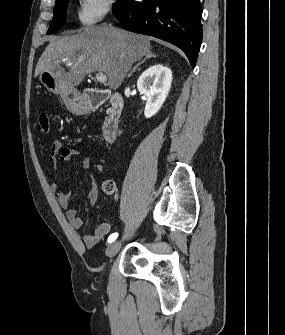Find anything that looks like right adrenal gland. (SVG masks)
I'll return each mask as SVG.
<instances>
[{
  "instance_id": "1",
  "label": "right adrenal gland",
  "mask_w": 285,
  "mask_h": 335,
  "mask_svg": "<svg viewBox=\"0 0 285 335\" xmlns=\"http://www.w3.org/2000/svg\"><path fill=\"white\" fill-rule=\"evenodd\" d=\"M150 58H156V56H153V54H146V58H143V60H141V62H138V64H136V66H134L133 70H131V72H129V74H127L126 78H130L131 74H133V72H136L137 68H139V66H141V64H145V62H147V60H150Z\"/></svg>"
}]
</instances>
